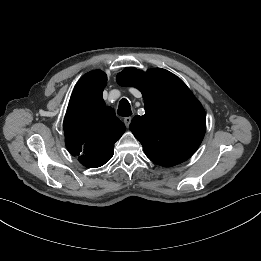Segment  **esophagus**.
<instances>
[{
  "mask_svg": "<svg viewBox=\"0 0 261 261\" xmlns=\"http://www.w3.org/2000/svg\"><path fill=\"white\" fill-rule=\"evenodd\" d=\"M123 121H124V124L126 125V127H129V125L132 121V117H125Z\"/></svg>",
  "mask_w": 261,
  "mask_h": 261,
  "instance_id": "esophagus-1",
  "label": "esophagus"
}]
</instances>
